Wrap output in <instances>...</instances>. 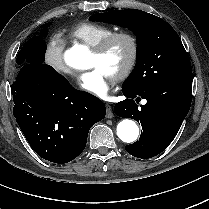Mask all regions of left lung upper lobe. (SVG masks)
Masks as SVG:
<instances>
[{"label":"left lung upper lobe","instance_id":"obj_1","mask_svg":"<svg viewBox=\"0 0 209 209\" xmlns=\"http://www.w3.org/2000/svg\"><path fill=\"white\" fill-rule=\"evenodd\" d=\"M90 20L126 27L136 35V65L122 87L139 90L157 83L192 79L189 57L175 30L163 19L137 9L112 10Z\"/></svg>","mask_w":209,"mask_h":209}]
</instances>
